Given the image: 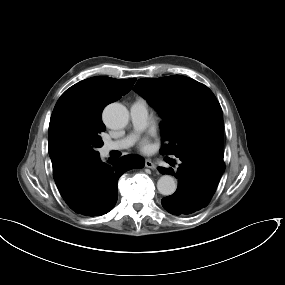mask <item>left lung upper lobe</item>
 <instances>
[{"mask_svg": "<svg viewBox=\"0 0 285 285\" xmlns=\"http://www.w3.org/2000/svg\"><path fill=\"white\" fill-rule=\"evenodd\" d=\"M134 90L154 107L162 122L161 153L206 154L223 159L222 109L212 91L196 80L173 75L144 78Z\"/></svg>", "mask_w": 285, "mask_h": 285, "instance_id": "obj_1", "label": "left lung upper lobe"}]
</instances>
